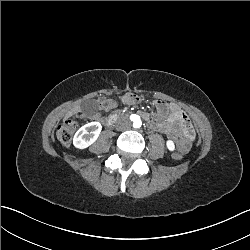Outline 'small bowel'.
Instances as JSON below:
<instances>
[{"label": "small bowel", "mask_w": 250, "mask_h": 250, "mask_svg": "<svg viewBox=\"0 0 250 250\" xmlns=\"http://www.w3.org/2000/svg\"><path fill=\"white\" fill-rule=\"evenodd\" d=\"M122 104L136 105L141 99L134 94H125L120 98ZM116 107L115 101L108 98H101L96 102V108L100 111H108ZM153 107L156 110V117L150 122V127L157 132H160L170 139L176 141L182 152L188 151L191 142L194 139L195 132L193 126L189 122L186 114L174 103H165L156 100L153 102ZM144 117L148 115L141 113ZM77 117L85 116L82 113H76ZM97 118L98 114L91 115ZM167 118V120H165Z\"/></svg>", "instance_id": "obj_1"}]
</instances>
